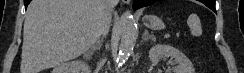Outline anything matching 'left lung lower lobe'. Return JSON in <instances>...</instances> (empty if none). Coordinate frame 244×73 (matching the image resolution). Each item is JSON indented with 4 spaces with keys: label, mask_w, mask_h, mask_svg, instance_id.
<instances>
[{
    "label": "left lung lower lobe",
    "mask_w": 244,
    "mask_h": 73,
    "mask_svg": "<svg viewBox=\"0 0 244 73\" xmlns=\"http://www.w3.org/2000/svg\"><path fill=\"white\" fill-rule=\"evenodd\" d=\"M159 0H134V9H139L141 7L149 6ZM200 2L204 3L207 5L209 8H211L213 11L216 12L215 10V0H199Z\"/></svg>",
    "instance_id": "0a47b994"
}]
</instances>
